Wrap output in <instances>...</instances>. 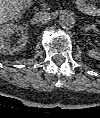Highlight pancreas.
Listing matches in <instances>:
<instances>
[{
  "instance_id": "obj_1",
  "label": "pancreas",
  "mask_w": 100,
  "mask_h": 118,
  "mask_svg": "<svg viewBox=\"0 0 100 118\" xmlns=\"http://www.w3.org/2000/svg\"><path fill=\"white\" fill-rule=\"evenodd\" d=\"M41 6L43 7V8H46L47 7V4H41Z\"/></svg>"
}]
</instances>
